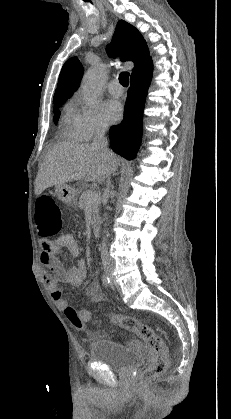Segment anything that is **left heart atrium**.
Segmentation results:
<instances>
[{
  "label": "left heart atrium",
  "mask_w": 231,
  "mask_h": 419,
  "mask_svg": "<svg viewBox=\"0 0 231 419\" xmlns=\"http://www.w3.org/2000/svg\"><path fill=\"white\" fill-rule=\"evenodd\" d=\"M103 114L109 122L115 123L122 117V106L118 101L110 100L104 104Z\"/></svg>",
  "instance_id": "left-heart-atrium-1"
}]
</instances>
